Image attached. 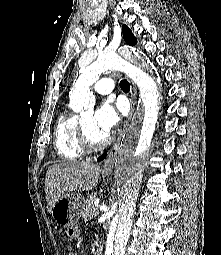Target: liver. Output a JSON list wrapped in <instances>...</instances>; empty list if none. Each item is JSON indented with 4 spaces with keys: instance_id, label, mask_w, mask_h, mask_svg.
<instances>
[{
    "instance_id": "1",
    "label": "liver",
    "mask_w": 221,
    "mask_h": 255,
    "mask_svg": "<svg viewBox=\"0 0 221 255\" xmlns=\"http://www.w3.org/2000/svg\"><path fill=\"white\" fill-rule=\"evenodd\" d=\"M102 169L91 162H65L48 168L45 193L48 211L64 195L73 191H92L98 184Z\"/></svg>"
}]
</instances>
